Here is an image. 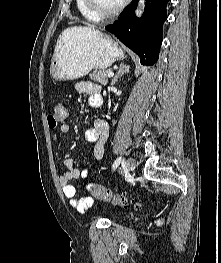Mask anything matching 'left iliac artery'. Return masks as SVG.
I'll list each match as a JSON object with an SVG mask.
<instances>
[{
    "mask_svg": "<svg viewBox=\"0 0 221 263\" xmlns=\"http://www.w3.org/2000/svg\"><path fill=\"white\" fill-rule=\"evenodd\" d=\"M122 161H123L122 157L117 158L113 164V167H112L113 170H115Z\"/></svg>",
    "mask_w": 221,
    "mask_h": 263,
    "instance_id": "left-iliac-artery-1",
    "label": "left iliac artery"
}]
</instances>
